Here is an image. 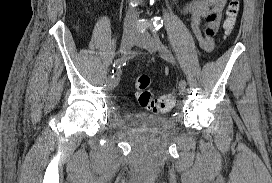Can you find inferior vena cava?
Instances as JSON below:
<instances>
[{"label": "inferior vena cava", "instance_id": "obj_1", "mask_svg": "<svg viewBox=\"0 0 272 183\" xmlns=\"http://www.w3.org/2000/svg\"><path fill=\"white\" fill-rule=\"evenodd\" d=\"M137 16H138V12L136 10H133V9L128 10L125 17V21H124L125 29H129L134 26Z\"/></svg>", "mask_w": 272, "mask_h": 183}]
</instances>
